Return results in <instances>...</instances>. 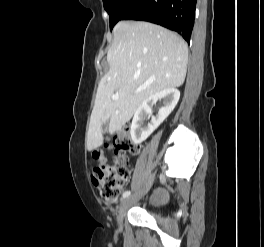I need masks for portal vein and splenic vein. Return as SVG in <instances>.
Here are the masks:
<instances>
[{
    "label": "portal vein and splenic vein",
    "mask_w": 264,
    "mask_h": 247,
    "mask_svg": "<svg viewBox=\"0 0 264 247\" xmlns=\"http://www.w3.org/2000/svg\"><path fill=\"white\" fill-rule=\"evenodd\" d=\"M119 96L118 95H112V100H118Z\"/></svg>",
    "instance_id": "portal-vein-and-splenic-vein-1"
}]
</instances>
